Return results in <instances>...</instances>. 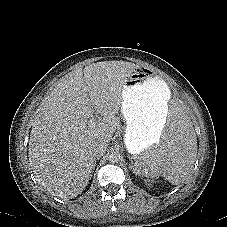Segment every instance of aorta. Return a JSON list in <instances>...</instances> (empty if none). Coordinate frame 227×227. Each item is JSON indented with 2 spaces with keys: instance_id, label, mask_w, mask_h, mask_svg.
<instances>
[{
  "instance_id": "762f6f07",
  "label": "aorta",
  "mask_w": 227,
  "mask_h": 227,
  "mask_svg": "<svg viewBox=\"0 0 227 227\" xmlns=\"http://www.w3.org/2000/svg\"><path fill=\"white\" fill-rule=\"evenodd\" d=\"M121 156H120V153L119 152H112L110 155H109V160L112 162V163H117L119 160H120Z\"/></svg>"
}]
</instances>
